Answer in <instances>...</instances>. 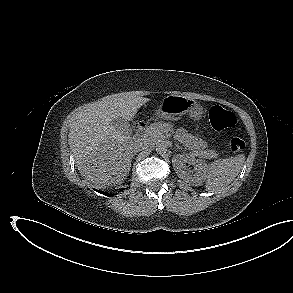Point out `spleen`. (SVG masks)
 <instances>
[{
	"mask_svg": "<svg viewBox=\"0 0 293 293\" xmlns=\"http://www.w3.org/2000/svg\"><path fill=\"white\" fill-rule=\"evenodd\" d=\"M244 160L245 156L239 154L211 163L203 174V178L206 180V190L215 192L227 187L239 174Z\"/></svg>",
	"mask_w": 293,
	"mask_h": 293,
	"instance_id": "obj_1",
	"label": "spleen"
}]
</instances>
